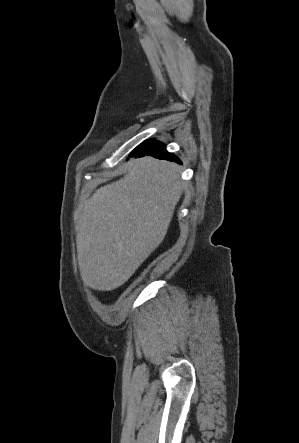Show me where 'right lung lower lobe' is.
Masks as SVG:
<instances>
[{
    "label": "right lung lower lobe",
    "instance_id": "right-lung-lower-lobe-1",
    "mask_svg": "<svg viewBox=\"0 0 299 443\" xmlns=\"http://www.w3.org/2000/svg\"><path fill=\"white\" fill-rule=\"evenodd\" d=\"M144 155L181 163L174 154L166 151L162 143L156 142L155 140H147L143 142L142 144L137 146L130 154L131 157L136 158L143 157Z\"/></svg>",
    "mask_w": 299,
    "mask_h": 443
}]
</instances>
